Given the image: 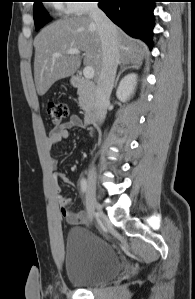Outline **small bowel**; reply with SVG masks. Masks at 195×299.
Segmentation results:
<instances>
[{"instance_id":"1","label":"small bowel","mask_w":195,"mask_h":299,"mask_svg":"<svg viewBox=\"0 0 195 299\" xmlns=\"http://www.w3.org/2000/svg\"><path fill=\"white\" fill-rule=\"evenodd\" d=\"M74 127H84V124L77 115H72L67 122L53 128L50 131V134L47 139L48 147L53 148L65 139H67L69 130ZM49 164L53 173L54 180L56 181L55 192L57 194V200L60 207L61 216L65 218L66 221L71 225L85 223L87 221V216L85 212L72 211L70 200L61 193L59 181L67 182V176L57 169V161L54 158H50Z\"/></svg>"}]
</instances>
